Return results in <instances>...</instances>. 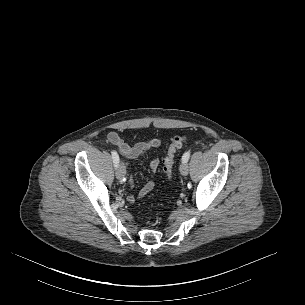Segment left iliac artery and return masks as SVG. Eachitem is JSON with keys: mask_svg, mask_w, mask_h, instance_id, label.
Here are the masks:
<instances>
[{"mask_svg": "<svg viewBox=\"0 0 305 305\" xmlns=\"http://www.w3.org/2000/svg\"><path fill=\"white\" fill-rule=\"evenodd\" d=\"M189 158H190V151H187L182 156V162H188Z\"/></svg>", "mask_w": 305, "mask_h": 305, "instance_id": "44dca946", "label": "left iliac artery"}]
</instances>
